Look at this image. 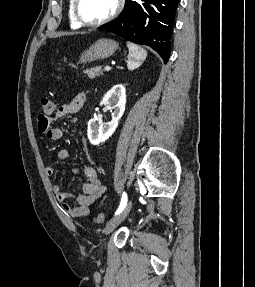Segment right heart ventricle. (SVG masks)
I'll use <instances>...</instances> for the list:
<instances>
[{
	"label": "right heart ventricle",
	"mask_w": 255,
	"mask_h": 287,
	"mask_svg": "<svg viewBox=\"0 0 255 287\" xmlns=\"http://www.w3.org/2000/svg\"><path fill=\"white\" fill-rule=\"evenodd\" d=\"M92 48H105V47H92Z\"/></svg>",
	"instance_id": "1"
}]
</instances>
